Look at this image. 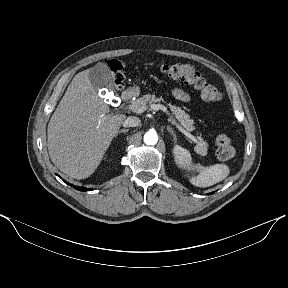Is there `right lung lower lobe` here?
<instances>
[{"instance_id": "right-lung-lower-lobe-1", "label": "right lung lower lobe", "mask_w": 288, "mask_h": 288, "mask_svg": "<svg viewBox=\"0 0 288 288\" xmlns=\"http://www.w3.org/2000/svg\"><path fill=\"white\" fill-rule=\"evenodd\" d=\"M66 182V181H65ZM69 184V183H68ZM72 186V184H69ZM75 189L79 190V191H89L90 189H87L85 187H79V186H74Z\"/></svg>"}]
</instances>
